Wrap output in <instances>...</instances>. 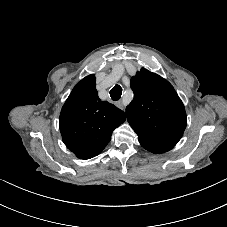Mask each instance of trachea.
Returning <instances> with one entry per match:
<instances>
[{
	"label": "trachea",
	"mask_w": 227,
	"mask_h": 227,
	"mask_svg": "<svg viewBox=\"0 0 227 227\" xmlns=\"http://www.w3.org/2000/svg\"><path fill=\"white\" fill-rule=\"evenodd\" d=\"M122 95V88L119 85H115L111 90H110V97L112 100L117 101L121 98Z\"/></svg>",
	"instance_id": "obj_1"
}]
</instances>
